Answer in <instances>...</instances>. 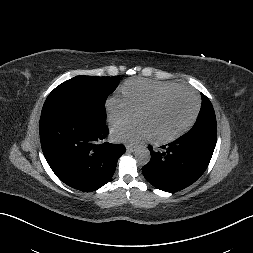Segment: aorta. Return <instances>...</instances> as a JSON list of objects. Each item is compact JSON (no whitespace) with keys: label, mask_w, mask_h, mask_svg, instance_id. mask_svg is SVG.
<instances>
[{"label":"aorta","mask_w":253,"mask_h":253,"mask_svg":"<svg viewBox=\"0 0 253 253\" xmlns=\"http://www.w3.org/2000/svg\"><path fill=\"white\" fill-rule=\"evenodd\" d=\"M135 158L141 165L148 164L151 158L150 151L145 146L137 147L135 149Z\"/></svg>","instance_id":"762f6f07"}]
</instances>
